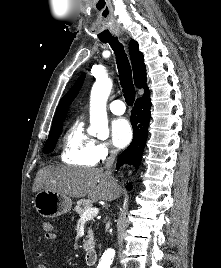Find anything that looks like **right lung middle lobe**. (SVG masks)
<instances>
[{
  "label": "right lung middle lobe",
  "mask_w": 221,
  "mask_h": 268,
  "mask_svg": "<svg viewBox=\"0 0 221 268\" xmlns=\"http://www.w3.org/2000/svg\"><path fill=\"white\" fill-rule=\"evenodd\" d=\"M61 129H62V124L55 126V127H52V129L49 133L48 139L46 141V144L43 148L44 153L47 154V153H50L51 151H53V149L57 143V140L60 136Z\"/></svg>",
  "instance_id": "1"
}]
</instances>
